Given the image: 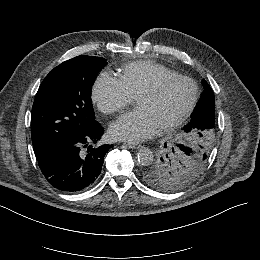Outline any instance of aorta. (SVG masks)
Returning a JSON list of instances; mask_svg holds the SVG:
<instances>
[{
  "label": "aorta",
  "mask_w": 260,
  "mask_h": 260,
  "mask_svg": "<svg viewBox=\"0 0 260 260\" xmlns=\"http://www.w3.org/2000/svg\"><path fill=\"white\" fill-rule=\"evenodd\" d=\"M137 161L142 166H147L153 161V153L149 148H140L136 153Z\"/></svg>",
  "instance_id": "1"
}]
</instances>
